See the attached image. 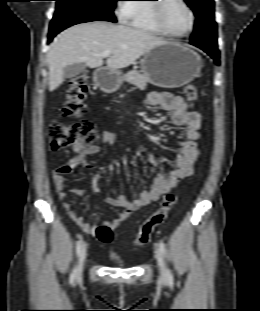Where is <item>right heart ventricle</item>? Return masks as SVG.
Segmentation results:
<instances>
[{
	"mask_svg": "<svg viewBox=\"0 0 260 311\" xmlns=\"http://www.w3.org/2000/svg\"><path fill=\"white\" fill-rule=\"evenodd\" d=\"M150 0H134V2H145ZM152 4L130 3L126 5L123 20L130 26L156 35H163L157 27L153 15Z\"/></svg>",
	"mask_w": 260,
	"mask_h": 311,
	"instance_id": "right-heart-ventricle-1",
	"label": "right heart ventricle"
}]
</instances>
